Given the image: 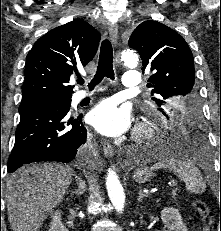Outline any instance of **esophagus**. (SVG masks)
<instances>
[{
    "instance_id": "34e87169",
    "label": "esophagus",
    "mask_w": 221,
    "mask_h": 231,
    "mask_svg": "<svg viewBox=\"0 0 221 231\" xmlns=\"http://www.w3.org/2000/svg\"><path fill=\"white\" fill-rule=\"evenodd\" d=\"M109 36L113 44H116L118 38V26L116 24H110L108 27ZM103 151L105 156L113 157L114 155V148L108 141L102 142Z\"/></svg>"
}]
</instances>
